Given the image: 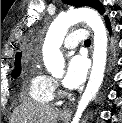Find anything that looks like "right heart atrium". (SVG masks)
Listing matches in <instances>:
<instances>
[{"instance_id":"obj_1","label":"right heart atrium","mask_w":122,"mask_h":123,"mask_svg":"<svg viewBox=\"0 0 122 123\" xmlns=\"http://www.w3.org/2000/svg\"><path fill=\"white\" fill-rule=\"evenodd\" d=\"M53 83H54V88H56L57 84L54 81H53Z\"/></svg>"}]
</instances>
